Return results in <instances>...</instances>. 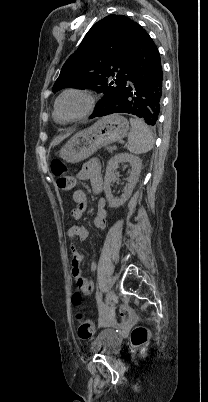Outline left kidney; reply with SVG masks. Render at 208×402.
<instances>
[{"mask_svg": "<svg viewBox=\"0 0 208 402\" xmlns=\"http://www.w3.org/2000/svg\"><path fill=\"white\" fill-rule=\"evenodd\" d=\"M123 162H128V164H130L131 166V172L128 178L129 184H126L124 188V194H122L121 198H114V196H112L111 194L110 186L111 182L117 180V176H115V170H117L119 164H123ZM141 168L142 160H140L138 156L127 154V152H123V154H116L114 158H111V160H109L104 178V190L110 208H119V206H123V204H125V202L129 200L133 192V188H135L139 180Z\"/></svg>", "mask_w": 208, "mask_h": 402, "instance_id": "left-kidney-1", "label": "left kidney"}]
</instances>
